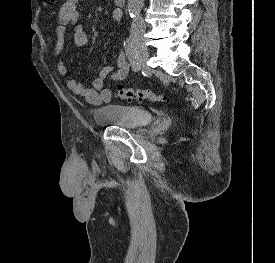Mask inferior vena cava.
Returning <instances> with one entry per match:
<instances>
[{
  "instance_id": "602c4592",
  "label": "inferior vena cava",
  "mask_w": 275,
  "mask_h": 263,
  "mask_svg": "<svg viewBox=\"0 0 275 263\" xmlns=\"http://www.w3.org/2000/svg\"><path fill=\"white\" fill-rule=\"evenodd\" d=\"M146 29L143 18L138 14L134 17L131 25L132 33H143Z\"/></svg>"
}]
</instances>
